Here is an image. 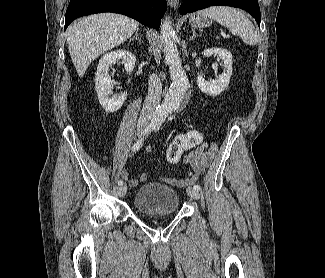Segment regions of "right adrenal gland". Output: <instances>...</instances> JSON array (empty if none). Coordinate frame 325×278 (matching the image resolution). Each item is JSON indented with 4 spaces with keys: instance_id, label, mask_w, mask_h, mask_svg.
<instances>
[{
    "instance_id": "right-adrenal-gland-1",
    "label": "right adrenal gland",
    "mask_w": 325,
    "mask_h": 278,
    "mask_svg": "<svg viewBox=\"0 0 325 278\" xmlns=\"http://www.w3.org/2000/svg\"><path fill=\"white\" fill-rule=\"evenodd\" d=\"M133 39H136L137 41L141 42V39H140V37H139V29H137V30L135 31V36H134V37H131V38L129 39V41L131 42Z\"/></svg>"
}]
</instances>
